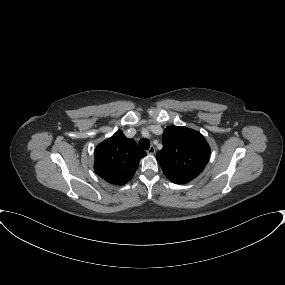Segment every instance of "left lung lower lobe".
Here are the masks:
<instances>
[{
    "instance_id": "left-lung-lower-lobe-1",
    "label": "left lung lower lobe",
    "mask_w": 285,
    "mask_h": 285,
    "mask_svg": "<svg viewBox=\"0 0 285 285\" xmlns=\"http://www.w3.org/2000/svg\"><path fill=\"white\" fill-rule=\"evenodd\" d=\"M170 180L176 184H184V183L189 182L188 180H184V179H173V178H171Z\"/></svg>"
}]
</instances>
